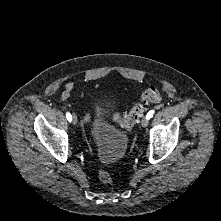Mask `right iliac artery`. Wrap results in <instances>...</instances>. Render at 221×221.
Masks as SVG:
<instances>
[{"label":"right iliac artery","mask_w":221,"mask_h":221,"mask_svg":"<svg viewBox=\"0 0 221 221\" xmlns=\"http://www.w3.org/2000/svg\"><path fill=\"white\" fill-rule=\"evenodd\" d=\"M66 118L70 122L72 120V116L70 113H66Z\"/></svg>","instance_id":"82829eb1"}]
</instances>
